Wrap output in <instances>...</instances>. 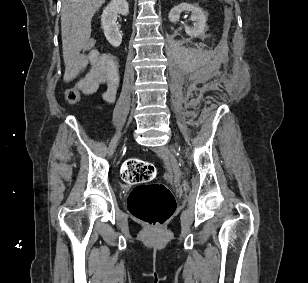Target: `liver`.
I'll return each mask as SVG.
<instances>
[{
    "label": "liver",
    "instance_id": "6515ba94",
    "mask_svg": "<svg viewBox=\"0 0 308 283\" xmlns=\"http://www.w3.org/2000/svg\"><path fill=\"white\" fill-rule=\"evenodd\" d=\"M106 0H62L61 34L66 65L79 55L91 36V20ZM67 75H65L66 79Z\"/></svg>",
    "mask_w": 308,
    "mask_h": 283
}]
</instances>
